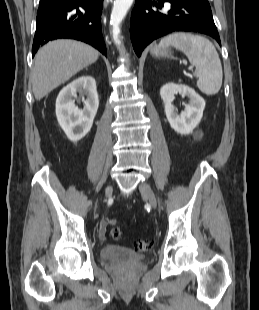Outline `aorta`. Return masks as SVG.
I'll use <instances>...</instances> for the list:
<instances>
[{"label":"aorta","mask_w":259,"mask_h":310,"mask_svg":"<svg viewBox=\"0 0 259 310\" xmlns=\"http://www.w3.org/2000/svg\"><path fill=\"white\" fill-rule=\"evenodd\" d=\"M134 0H115L111 12L110 23L112 25L113 39L120 48L121 42L118 40L120 34V24L125 18Z\"/></svg>","instance_id":"obj_1"}]
</instances>
